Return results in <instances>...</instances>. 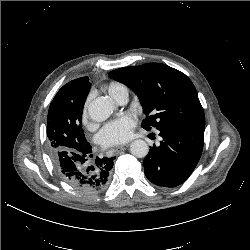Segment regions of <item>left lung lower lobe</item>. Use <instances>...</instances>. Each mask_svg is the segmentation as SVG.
<instances>
[{"label": "left lung lower lobe", "instance_id": "1", "mask_svg": "<svg viewBox=\"0 0 250 250\" xmlns=\"http://www.w3.org/2000/svg\"><path fill=\"white\" fill-rule=\"evenodd\" d=\"M158 147H150L144 159L145 175L162 187L184 183L195 169L203 149L204 127L171 128L160 131Z\"/></svg>", "mask_w": 250, "mask_h": 250}]
</instances>
